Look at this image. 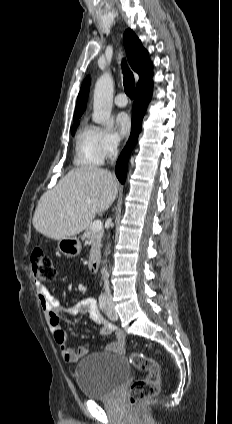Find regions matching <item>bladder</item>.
I'll use <instances>...</instances> for the list:
<instances>
[{
	"label": "bladder",
	"mask_w": 232,
	"mask_h": 424,
	"mask_svg": "<svg viewBox=\"0 0 232 424\" xmlns=\"http://www.w3.org/2000/svg\"><path fill=\"white\" fill-rule=\"evenodd\" d=\"M131 375L129 362L122 356L90 354L76 367L75 380L83 397H111Z\"/></svg>",
	"instance_id": "31cf9c89"
}]
</instances>
